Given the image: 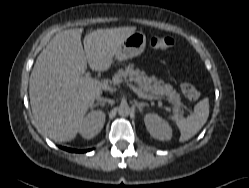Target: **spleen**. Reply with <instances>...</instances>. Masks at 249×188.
I'll return each instance as SVG.
<instances>
[{"mask_svg":"<svg viewBox=\"0 0 249 188\" xmlns=\"http://www.w3.org/2000/svg\"><path fill=\"white\" fill-rule=\"evenodd\" d=\"M208 116L209 101L208 98H205L195 105L194 112L187 118L175 117L181 132L179 141L184 142L192 138L206 123Z\"/></svg>","mask_w":249,"mask_h":188,"instance_id":"3e777b00","label":"spleen"}]
</instances>
